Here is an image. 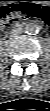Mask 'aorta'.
<instances>
[{
    "instance_id": "obj_1",
    "label": "aorta",
    "mask_w": 50,
    "mask_h": 111,
    "mask_svg": "<svg viewBox=\"0 0 50 111\" xmlns=\"http://www.w3.org/2000/svg\"><path fill=\"white\" fill-rule=\"evenodd\" d=\"M25 32L31 35L37 34L39 32V26L36 23L29 22L25 26Z\"/></svg>"
}]
</instances>
